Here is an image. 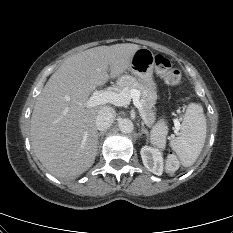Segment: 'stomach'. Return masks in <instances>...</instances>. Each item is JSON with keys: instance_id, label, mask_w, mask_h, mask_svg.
Segmentation results:
<instances>
[{"instance_id": "1", "label": "stomach", "mask_w": 233, "mask_h": 233, "mask_svg": "<svg viewBox=\"0 0 233 233\" xmlns=\"http://www.w3.org/2000/svg\"><path fill=\"white\" fill-rule=\"evenodd\" d=\"M154 63L153 52L149 48L143 47L134 53L128 71L135 75L148 90L156 94V83L153 79Z\"/></svg>"}]
</instances>
